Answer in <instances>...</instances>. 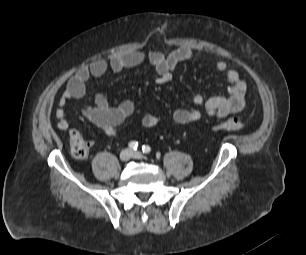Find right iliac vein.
<instances>
[{
  "label": "right iliac vein",
  "mask_w": 306,
  "mask_h": 255,
  "mask_svg": "<svg viewBox=\"0 0 306 255\" xmlns=\"http://www.w3.org/2000/svg\"><path fill=\"white\" fill-rule=\"evenodd\" d=\"M132 157V152L129 149H124L120 153V159L124 162L128 161Z\"/></svg>",
  "instance_id": "1"
}]
</instances>
